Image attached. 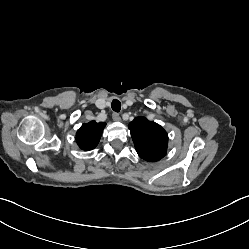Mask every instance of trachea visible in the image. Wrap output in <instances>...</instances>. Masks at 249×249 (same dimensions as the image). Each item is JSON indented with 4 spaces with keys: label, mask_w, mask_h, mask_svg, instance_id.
<instances>
[{
    "label": "trachea",
    "mask_w": 249,
    "mask_h": 249,
    "mask_svg": "<svg viewBox=\"0 0 249 249\" xmlns=\"http://www.w3.org/2000/svg\"><path fill=\"white\" fill-rule=\"evenodd\" d=\"M111 107H112L113 111L119 112L120 109H121V103H120V101L117 100V99H114L112 101Z\"/></svg>",
    "instance_id": "3493384b"
}]
</instances>
